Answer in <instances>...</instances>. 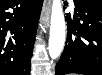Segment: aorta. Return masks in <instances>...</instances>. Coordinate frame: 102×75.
<instances>
[{"label": "aorta", "instance_id": "762f6f07", "mask_svg": "<svg viewBox=\"0 0 102 75\" xmlns=\"http://www.w3.org/2000/svg\"><path fill=\"white\" fill-rule=\"evenodd\" d=\"M65 19L60 0H53L48 51L52 59L60 56L66 38Z\"/></svg>", "mask_w": 102, "mask_h": 75}]
</instances>
